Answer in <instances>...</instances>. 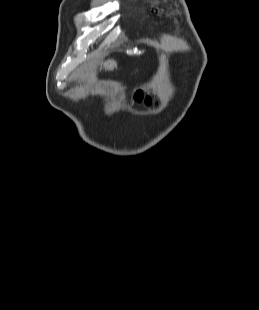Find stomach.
I'll return each mask as SVG.
<instances>
[{
	"label": "stomach",
	"instance_id": "obj_1",
	"mask_svg": "<svg viewBox=\"0 0 259 310\" xmlns=\"http://www.w3.org/2000/svg\"><path fill=\"white\" fill-rule=\"evenodd\" d=\"M103 67L105 69H108V70H111L113 69L114 67H117V64L115 61L111 60V59H108L106 60L104 63H103Z\"/></svg>",
	"mask_w": 259,
	"mask_h": 310
}]
</instances>
